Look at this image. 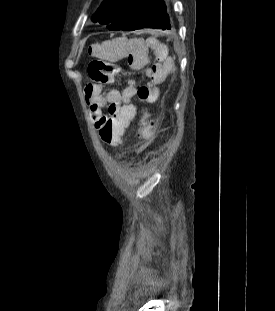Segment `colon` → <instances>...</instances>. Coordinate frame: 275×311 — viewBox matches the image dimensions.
<instances>
[{"mask_svg": "<svg viewBox=\"0 0 275 311\" xmlns=\"http://www.w3.org/2000/svg\"><path fill=\"white\" fill-rule=\"evenodd\" d=\"M100 51V45L90 48L91 54H97ZM117 73L118 68L111 62L103 59H93L88 65V74L96 82H107ZM137 96L142 102L153 103L157 99L158 90L153 83L144 84L139 87ZM129 123V118L102 119L99 128L100 139L108 146H118L121 140V130H129Z\"/></svg>", "mask_w": 275, "mask_h": 311, "instance_id": "1", "label": "colon"}]
</instances>
